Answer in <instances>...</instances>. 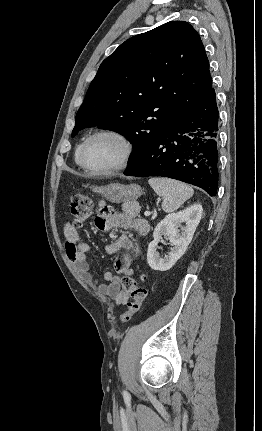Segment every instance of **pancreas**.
Returning <instances> with one entry per match:
<instances>
[{"label":"pancreas","mask_w":262,"mask_h":431,"mask_svg":"<svg viewBox=\"0 0 262 431\" xmlns=\"http://www.w3.org/2000/svg\"><path fill=\"white\" fill-rule=\"evenodd\" d=\"M123 211L126 212L130 217H135L138 215L140 211L139 206H130L128 204H124L122 207Z\"/></svg>","instance_id":"1"}]
</instances>
